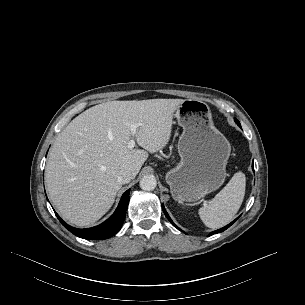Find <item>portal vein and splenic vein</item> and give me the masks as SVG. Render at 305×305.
<instances>
[{
    "mask_svg": "<svg viewBox=\"0 0 305 305\" xmlns=\"http://www.w3.org/2000/svg\"><path fill=\"white\" fill-rule=\"evenodd\" d=\"M139 126H141L140 123H133L130 125V130L133 136L136 134L137 128ZM134 147H135V140L134 137H132L131 140L128 142V148L133 149Z\"/></svg>",
    "mask_w": 305,
    "mask_h": 305,
    "instance_id": "obj_1",
    "label": "portal vein and splenic vein"
}]
</instances>
